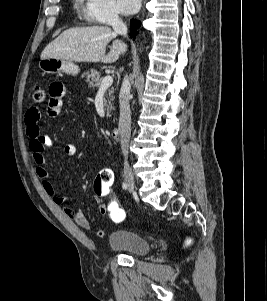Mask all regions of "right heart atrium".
<instances>
[{"label":"right heart atrium","instance_id":"right-heart-atrium-1","mask_svg":"<svg viewBox=\"0 0 267 301\" xmlns=\"http://www.w3.org/2000/svg\"><path fill=\"white\" fill-rule=\"evenodd\" d=\"M83 1V18L87 23L107 25L120 19L113 0Z\"/></svg>","mask_w":267,"mask_h":301}]
</instances>
